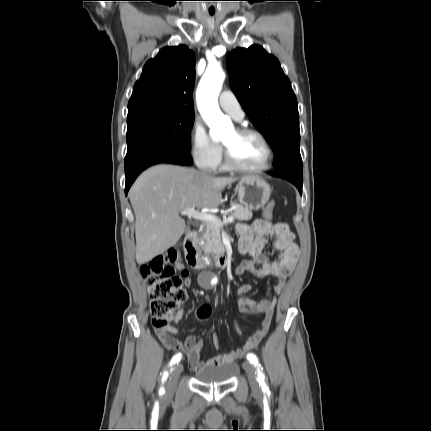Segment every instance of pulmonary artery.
Segmentation results:
<instances>
[{
  "label": "pulmonary artery",
  "mask_w": 431,
  "mask_h": 431,
  "mask_svg": "<svg viewBox=\"0 0 431 431\" xmlns=\"http://www.w3.org/2000/svg\"><path fill=\"white\" fill-rule=\"evenodd\" d=\"M219 105L225 112L230 114L235 120L243 119L244 112L233 92L229 90L223 91L219 96Z\"/></svg>",
  "instance_id": "1"
}]
</instances>
